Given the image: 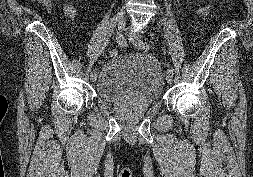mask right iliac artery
Masks as SVG:
<instances>
[{
	"label": "right iliac artery",
	"mask_w": 253,
	"mask_h": 177,
	"mask_svg": "<svg viewBox=\"0 0 253 177\" xmlns=\"http://www.w3.org/2000/svg\"><path fill=\"white\" fill-rule=\"evenodd\" d=\"M116 42L121 46V47H124L126 45V42H125V39L123 37V35H118L116 37Z\"/></svg>",
	"instance_id": "82829eb1"
}]
</instances>
